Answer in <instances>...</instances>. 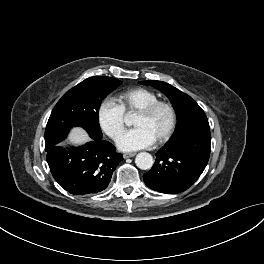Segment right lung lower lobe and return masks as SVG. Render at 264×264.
Segmentation results:
<instances>
[{"instance_id": "1", "label": "right lung lower lobe", "mask_w": 264, "mask_h": 264, "mask_svg": "<svg viewBox=\"0 0 264 264\" xmlns=\"http://www.w3.org/2000/svg\"><path fill=\"white\" fill-rule=\"evenodd\" d=\"M92 139L86 145L71 147L68 151L57 145L46 149L54 179L71 194L86 195L103 191L116 166L123 160L110 142L102 138Z\"/></svg>"}]
</instances>
